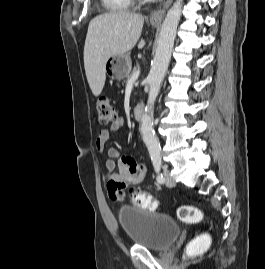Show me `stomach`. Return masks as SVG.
<instances>
[{
	"instance_id": "0dacf381",
	"label": "stomach",
	"mask_w": 265,
	"mask_h": 269,
	"mask_svg": "<svg viewBox=\"0 0 265 269\" xmlns=\"http://www.w3.org/2000/svg\"><path fill=\"white\" fill-rule=\"evenodd\" d=\"M153 26H156V24H153ZM131 67L132 63L128 55H113L107 60L105 70L110 78L121 80L130 74Z\"/></svg>"
}]
</instances>
